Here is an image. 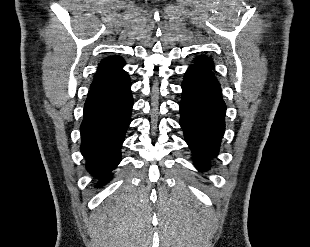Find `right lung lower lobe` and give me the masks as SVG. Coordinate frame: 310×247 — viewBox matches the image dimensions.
I'll return each instance as SVG.
<instances>
[{"instance_id":"right-lung-lower-lobe-1","label":"right lung lower lobe","mask_w":310,"mask_h":247,"mask_svg":"<svg viewBox=\"0 0 310 247\" xmlns=\"http://www.w3.org/2000/svg\"><path fill=\"white\" fill-rule=\"evenodd\" d=\"M130 87V81L91 87L84 105L81 152L87 170L100 179H110L121 160L120 149L131 121Z\"/></svg>"}]
</instances>
